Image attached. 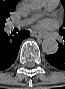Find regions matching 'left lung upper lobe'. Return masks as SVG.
<instances>
[{
    "label": "left lung upper lobe",
    "instance_id": "1",
    "mask_svg": "<svg viewBox=\"0 0 65 89\" xmlns=\"http://www.w3.org/2000/svg\"><path fill=\"white\" fill-rule=\"evenodd\" d=\"M62 4L64 6V9H65V1L62 0ZM59 33L62 35L64 34L65 35V20H64V23H63V26L60 28L59 30Z\"/></svg>",
    "mask_w": 65,
    "mask_h": 89
}]
</instances>
